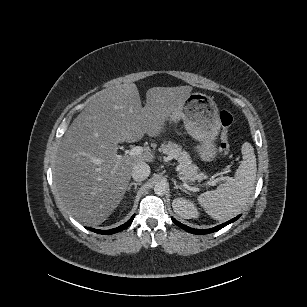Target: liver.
I'll use <instances>...</instances> for the list:
<instances>
[{
	"instance_id": "1",
	"label": "liver",
	"mask_w": 307,
	"mask_h": 307,
	"mask_svg": "<svg viewBox=\"0 0 307 307\" xmlns=\"http://www.w3.org/2000/svg\"><path fill=\"white\" fill-rule=\"evenodd\" d=\"M192 86L152 87L142 107L135 83L97 92L74 119L53 163L56 198L80 222L100 225L122 201L134 165L154 155H118V144L157 137L180 112Z\"/></svg>"
}]
</instances>
